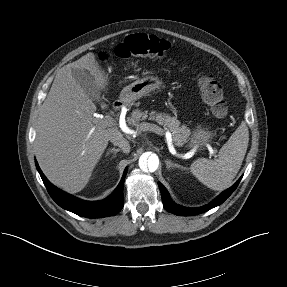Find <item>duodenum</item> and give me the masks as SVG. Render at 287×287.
I'll return each mask as SVG.
<instances>
[{
  "mask_svg": "<svg viewBox=\"0 0 287 287\" xmlns=\"http://www.w3.org/2000/svg\"><path fill=\"white\" fill-rule=\"evenodd\" d=\"M121 106H122V102L119 101V100L114 103V107H115L116 109H119Z\"/></svg>",
  "mask_w": 287,
  "mask_h": 287,
  "instance_id": "1",
  "label": "duodenum"
}]
</instances>
